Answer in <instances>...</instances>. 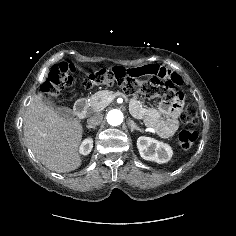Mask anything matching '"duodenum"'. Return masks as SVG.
<instances>
[{
    "label": "duodenum",
    "instance_id": "1",
    "mask_svg": "<svg viewBox=\"0 0 236 236\" xmlns=\"http://www.w3.org/2000/svg\"><path fill=\"white\" fill-rule=\"evenodd\" d=\"M87 101L85 98H79L74 104V112L79 117H84L87 113Z\"/></svg>",
    "mask_w": 236,
    "mask_h": 236
}]
</instances>
